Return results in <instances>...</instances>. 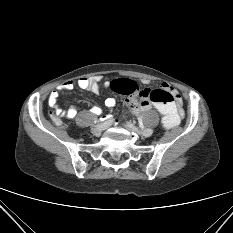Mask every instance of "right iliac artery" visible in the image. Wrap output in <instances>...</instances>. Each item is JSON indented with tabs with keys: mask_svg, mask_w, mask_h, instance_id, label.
<instances>
[{
	"mask_svg": "<svg viewBox=\"0 0 233 233\" xmlns=\"http://www.w3.org/2000/svg\"><path fill=\"white\" fill-rule=\"evenodd\" d=\"M113 117H110L109 119H107L106 120V122H104V123H97L96 124V128H99V126H108L109 125V121H111V119H112Z\"/></svg>",
	"mask_w": 233,
	"mask_h": 233,
	"instance_id": "right-iliac-artery-1",
	"label": "right iliac artery"
}]
</instances>
